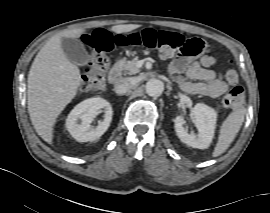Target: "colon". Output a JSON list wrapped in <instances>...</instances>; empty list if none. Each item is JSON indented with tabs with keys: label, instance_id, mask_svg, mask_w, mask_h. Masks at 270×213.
Returning a JSON list of instances; mask_svg holds the SVG:
<instances>
[{
	"label": "colon",
	"instance_id": "colon-1",
	"mask_svg": "<svg viewBox=\"0 0 270 213\" xmlns=\"http://www.w3.org/2000/svg\"><path fill=\"white\" fill-rule=\"evenodd\" d=\"M88 47L91 63L81 78V89L86 91L102 90L105 86V76L110 66L108 53L114 46L144 45L157 49L162 56H171L177 52L193 57L202 52L204 43L201 39L191 38L167 30L145 29L142 32H133L128 36L117 34L112 36L106 29L99 28L83 37ZM223 78L234 83L238 75L234 70H228ZM244 90L241 86L230 89L222 98V105L226 109L238 108L243 100Z\"/></svg>",
	"mask_w": 270,
	"mask_h": 213
}]
</instances>
